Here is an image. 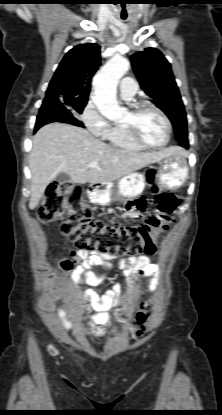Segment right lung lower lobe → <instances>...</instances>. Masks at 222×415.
Wrapping results in <instances>:
<instances>
[{"label":"right lung lower lobe","instance_id":"obj_1","mask_svg":"<svg viewBox=\"0 0 222 415\" xmlns=\"http://www.w3.org/2000/svg\"><path fill=\"white\" fill-rule=\"evenodd\" d=\"M51 122L71 123L80 127H84L83 124L78 121L71 114V112L59 102L54 103L51 106L43 105L40 108L36 120L35 131H37L41 126Z\"/></svg>","mask_w":222,"mask_h":415}]
</instances>
